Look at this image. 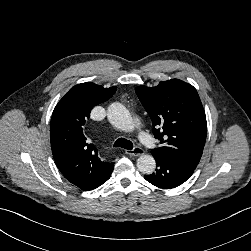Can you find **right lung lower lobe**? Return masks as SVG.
<instances>
[{
    "instance_id": "obj_1",
    "label": "right lung lower lobe",
    "mask_w": 251,
    "mask_h": 251,
    "mask_svg": "<svg viewBox=\"0 0 251 251\" xmlns=\"http://www.w3.org/2000/svg\"><path fill=\"white\" fill-rule=\"evenodd\" d=\"M113 167H114V164H111L110 167L104 170L98 177H96L93 181H91L90 183H88L87 185L83 186L80 189L88 191V190H92L99 187L105 181L109 179L113 171Z\"/></svg>"
}]
</instances>
